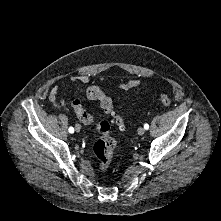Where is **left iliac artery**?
I'll list each match as a JSON object with an SVG mask.
<instances>
[{"label":"left iliac artery","instance_id":"left-iliac-artery-1","mask_svg":"<svg viewBox=\"0 0 221 221\" xmlns=\"http://www.w3.org/2000/svg\"><path fill=\"white\" fill-rule=\"evenodd\" d=\"M144 128L147 130V129H149V125L148 124H145L144 125Z\"/></svg>","mask_w":221,"mask_h":221}]
</instances>
